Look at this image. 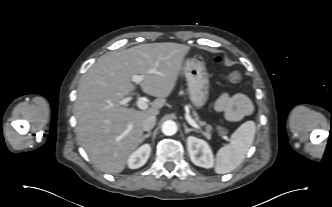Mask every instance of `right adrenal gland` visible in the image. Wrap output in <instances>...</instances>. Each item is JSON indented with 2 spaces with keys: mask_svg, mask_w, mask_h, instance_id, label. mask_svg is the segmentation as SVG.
Listing matches in <instances>:
<instances>
[{
  "mask_svg": "<svg viewBox=\"0 0 332 207\" xmlns=\"http://www.w3.org/2000/svg\"><path fill=\"white\" fill-rule=\"evenodd\" d=\"M151 132L149 131L146 135L143 136V140H145L146 138L150 137Z\"/></svg>",
  "mask_w": 332,
  "mask_h": 207,
  "instance_id": "obj_1",
  "label": "right adrenal gland"
}]
</instances>
